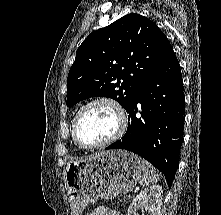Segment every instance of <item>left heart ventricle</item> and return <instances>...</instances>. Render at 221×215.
Instances as JSON below:
<instances>
[{
  "label": "left heart ventricle",
  "mask_w": 221,
  "mask_h": 215,
  "mask_svg": "<svg viewBox=\"0 0 221 215\" xmlns=\"http://www.w3.org/2000/svg\"><path fill=\"white\" fill-rule=\"evenodd\" d=\"M118 127V117L112 106L98 103L80 116L78 135L85 144H97L111 137Z\"/></svg>",
  "instance_id": "1"
}]
</instances>
